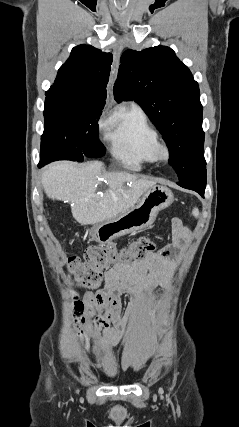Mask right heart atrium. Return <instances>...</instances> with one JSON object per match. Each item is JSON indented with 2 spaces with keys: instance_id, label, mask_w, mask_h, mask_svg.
I'll use <instances>...</instances> for the list:
<instances>
[{
  "instance_id": "d8ad5b80",
  "label": "right heart atrium",
  "mask_w": 239,
  "mask_h": 427,
  "mask_svg": "<svg viewBox=\"0 0 239 427\" xmlns=\"http://www.w3.org/2000/svg\"><path fill=\"white\" fill-rule=\"evenodd\" d=\"M100 124H101L102 127H106V125H107L105 121H101Z\"/></svg>"
}]
</instances>
